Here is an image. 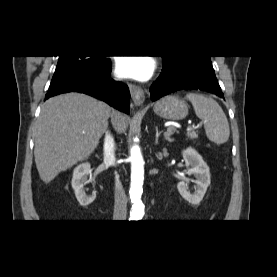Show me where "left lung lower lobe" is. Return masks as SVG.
<instances>
[{
	"label": "left lung lower lobe",
	"instance_id": "0a47b994",
	"mask_svg": "<svg viewBox=\"0 0 277 277\" xmlns=\"http://www.w3.org/2000/svg\"><path fill=\"white\" fill-rule=\"evenodd\" d=\"M182 89L207 91L224 98L213 67L206 66H191L185 69L164 67L150 88V98L155 101Z\"/></svg>",
	"mask_w": 277,
	"mask_h": 277
}]
</instances>
